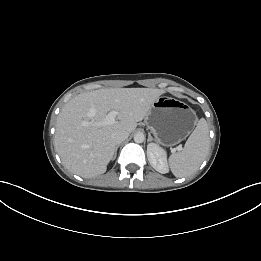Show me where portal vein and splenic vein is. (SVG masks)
<instances>
[{"instance_id": "portal-vein-and-splenic-vein-1", "label": "portal vein and splenic vein", "mask_w": 261, "mask_h": 261, "mask_svg": "<svg viewBox=\"0 0 261 261\" xmlns=\"http://www.w3.org/2000/svg\"><path fill=\"white\" fill-rule=\"evenodd\" d=\"M117 114H118V112L117 111H110L107 115H106V117H105V119H104V121H103V124H113L114 122H115V118H116V116H117ZM182 149V147L181 146H178L177 148H176V150H181ZM174 150V149H173Z\"/></svg>"}]
</instances>
